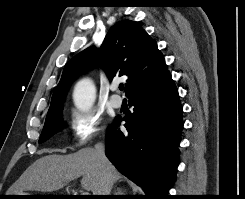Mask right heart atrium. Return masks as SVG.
<instances>
[{"mask_svg":"<svg viewBox=\"0 0 245 199\" xmlns=\"http://www.w3.org/2000/svg\"><path fill=\"white\" fill-rule=\"evenodd\" d=\"M69 125L77 145L82 146L99 135L102 130L101 116L93 109L73 110Z\"/></svg>","mask_w":245,"mask_h":199,"instance_id":"d8ad5b80","label":"right heart atrium"}]
</instances>
